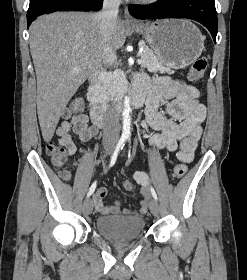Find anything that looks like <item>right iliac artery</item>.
I'll return each instance as SVG.
<instances>
[{
    "label": "right iliac artery",
    "mask_w": 247,
    "mask_h": 280,
    "mask_svg": "<svg viewBox=\"0 0 247 280\" xmlns=\"http://www.w3.org/2000/svg\"><path fill=\"white\" fill-rule=\"evenodd\" d=\"M125 141H126L125 137H121L120 140L118 141L117 146H116V148L114 150V153H113V155L111 157V161H110L109 167H111V166H113L115 164L117 156H118L120 150H122L124 145H125ZM96 184H97L96 181L93 182V184L89 188V191L87 193V197H90L94 193V191L96 189Z\"/></svg>",
    "instance_id": "right-iliac-artery-1"
}]
</instances>
